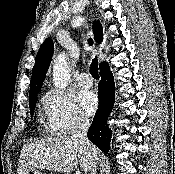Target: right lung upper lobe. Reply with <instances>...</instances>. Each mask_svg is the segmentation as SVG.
Returning a JSON list of instances; mask_svg holds the SVG:
<instances>
[{
	"mask_svg": "<svg viewBox=\"0 0 175 174\" xmlns=\"http://www.w3.org/2000/svg\"><path fill=\"white\" fill-rule=\"evenodd\" d=\"M93 32L95 40L100 43L103 38L102 25L100 23H94ZM53 50L54 44L52 39L49 38L41 45V48L37 53L35 65L32 71L29 101L37 97V93L40 91L43 85L46 72L49 68L50 61L53 55ZM104 63H101V65H103Z\"/></svg>",
	"mask_w": 175,
	"mask_h": 174,
	"instance_id": "right-lung-upper-lobe-1",
	"label": "right lung upper lobe"
}]
</instances>
